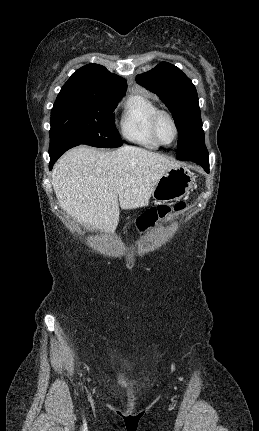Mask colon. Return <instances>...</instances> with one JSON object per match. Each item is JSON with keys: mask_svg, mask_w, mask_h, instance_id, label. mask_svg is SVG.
Masks as SVG:
<instances>
[{"mask_svg": "<svg viewBox=\"0 0 259 431\" xmlns=\"http://www.w3.org/2000/svg\"><path fill=\"white\" fill-rule=\"evenodd\" d=\"M185 203L180 201L173 207L174 211H181L184 209ZM172 208L168 205L153 206L143 214H141L136 222L137 231L144 233L154 228L160 220L165 219L171 212Z\"/></svg>", "mask_w": 259, "mask_h": 431, "instance_id": "colon-1", "label": "colon"}]
</instances>
